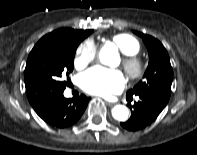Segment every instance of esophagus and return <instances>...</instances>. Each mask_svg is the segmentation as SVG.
<instances>
[{
  "mask_svg": "<svg viewBox=\"0 0 197 155\" xmlns=\"http://www.w3.org/2000/svg\"><path fill=\"white\" fill-rule=\"evenodd\" d=\"M106 104H107L108 106H113V105H115V103L110 102V101H106Z\"/></svg>",
  "mask_w": 197,
  "mask_h": 155,
  "instance_id": "esophagus-1",
  "label": "esophagus"
}]
</instances>
